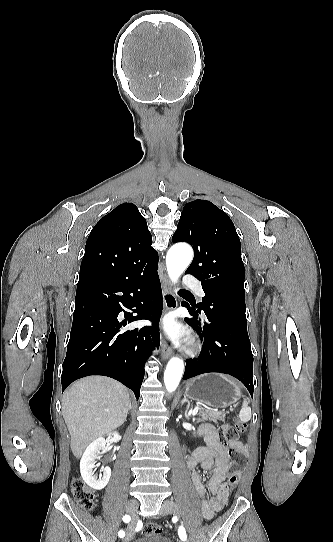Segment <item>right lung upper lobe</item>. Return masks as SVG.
Here are the masks:
<instances>
[{"mask_svg": "<svg viewBox=\"0 0 333 542\" xmlns=\"http://www.w3.org/2000/svg\"><path fill=\"white\" fill-rule=\"evenodd\" d=\"M152 236L145 218L132 203H123L104 216L92 229L85 249H107L123 253L131 249L139 252H157L151 247ZM127 278L120 267L89 270L80 267L78 284L104 281L119 282Z\"/></svg>", "mask_w": 333, "mask_h": 542, "instance_id": "obj_1", "label": "right lung upper lobe"}]
</instances>
